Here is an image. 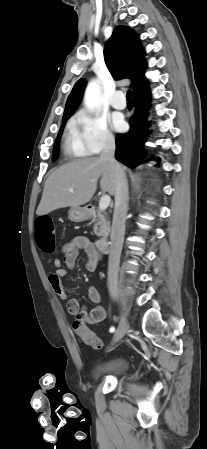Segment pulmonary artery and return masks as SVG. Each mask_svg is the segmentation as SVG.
<instances>
[{
    "instance_id": "1",
    "label": "pulmonary artery",
    "mask_w": 207,
    "mask_h": 449,
    "mask_svg": "<svg viewBox=\"0 0 207 449\" xmlns=\"http://www.w3.org/2000/svg\"><path fill=\"white\" fill-rule=\"evenodd\" d=\"M110 104L116 109H124L126 107V100L123 92L116 91L110 100Z\"/></svg>"
}]
</instances>
